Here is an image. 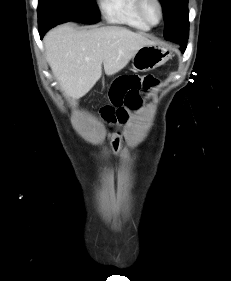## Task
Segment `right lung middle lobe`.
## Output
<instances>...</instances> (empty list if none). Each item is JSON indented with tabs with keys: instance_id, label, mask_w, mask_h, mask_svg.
<instances>
[{
	"instance_id": "1",
	"label": "right lung middle lobe",
	"mask_w": 231,
	"mask_h": 281,
	"mask_svg": "<svg viewBox=\"0 0 231 281\" xmlns=\"http://www.w3.org/2000/svg\"><path fill=\"white\" fill-rule=\"evenodd\" d=\"M37 12L39 24L99 21V10L94 0H38Z\"/></svg>"
}]
</instances>
